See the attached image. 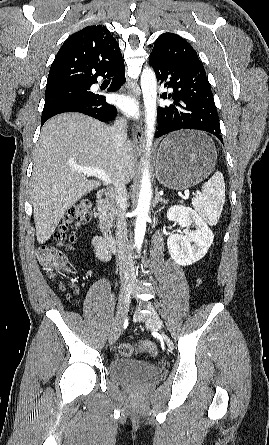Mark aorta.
Listing matches in <instances>:
<instances>
[{
  "label": "aorta",
  "mask_w": 269,
  "mask_h": 445,
  "mask_svg": "<svg viewBox=\"0 0 269 445\" xmlns=\"http://www.w3.org/2000/svg\"><path fill=\"white\" fill-rule=\"evenodd\" d=\"M141 88L143 93L144 107H145V136H146V155L149 156L152 141L155 132L156 111H157V80L154 71L146 67L141 74ZM152 188L150 182V172L148 161H145V167L141 179V188L136 208L137 218L135 225V246L140 252L145 231L146 221L148 218L149 208L151 204Z\"/></svg>",
  "instance_id": "1"
}]
</instances>
